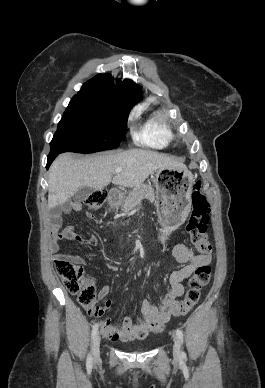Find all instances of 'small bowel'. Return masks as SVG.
Listing matches in <instances>:
<instances>
[{
  "instance_id": "1",
  "label": "small bowel",
  "mask_w": 265,
  "mask_h": 388,
  "mask_svg": "<svg viewBox=\"0 0 265 388\" xmlns=\"http://www.w3.org/2000/svg\"><path fill=\"white\" fill-rule=\"evenodd\" d=\"M83 210V204L79 201L72 203L65 212L70 211L80 212ZM86 216L89 219H95V215L91 212H87ZM61 224V217L59 214H55L51 217V227L54 232V239L52 243V250L55 253V259H66L75 265L82 266L87 262L84 258L75 255H68L59 253L61 239H70L64 237L58 233V229ZM71 230L70 228H67ZM78 242L88 245L97 246L100 242L99 238L92 235L87 238L75 236L74 238ZM173 255L177 262L184 264L178 270L173 271L169 276V289L162 298L159 307H155L148 300H143L141 304V318L134 323L132 319L125 318L123 322L116 326L113 325L110 319H104L100 321V328L104 337L112 341H127L131 339H142L146 336L161 330L170 320L175 307L178 305V298L184 293V286L182 282L189 278L195 270L202 265H209L211 263L210 254H195L192 250L187 248L183 244H177L173 248ZM91 283H95V277L90 279ZM110 286L105 285L99 291V299H104L110 293ZM112 302L108 300L104 306H93L89 313L95 316H101L104 312L110 308ZM99 325V324H98Z\"/></svg>"
}]
</instances>
